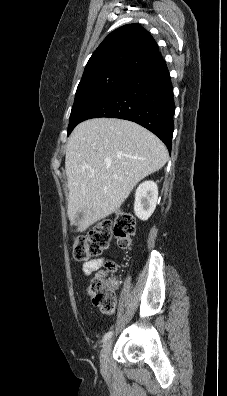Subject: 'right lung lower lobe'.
Returning <instances> with one entry per match:
<instances>
[{"label": "right lung lower lobe", "instance_id": "obj_1", "mask_svg": "<svg viewBox=\"0 0 227 396\" xmlns=\"http://www.w3.org/2000/svg\"><path fill=\"white\" fill-rule=\"evenodd\" d=\"M175 104L167 65L158 53L134 69L93 106L83 120L120 118L138 123L157 135L171 151Z\"/></svg>", "mask_w": 227, "mask_h": 396}]
</instances>
